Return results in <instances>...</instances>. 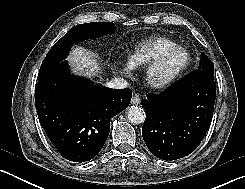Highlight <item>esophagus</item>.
Returning a JSON list of instances; mask_svg holds the SVG:
<instances>
[{"label":"esophagus","mask_w":245,"mask_h":189,"mask_svg":"<svg viewBox=\"0 0 245 189\" xmlns=\"http://www.w3.org/2000/svg\"><path fill=\"white\" fill-rule=\"evenodd\" d=\"M140 103V97L138 94H133L131 104L138 105Z\"/></svg>","instance_id":"1"}]
</instances>
